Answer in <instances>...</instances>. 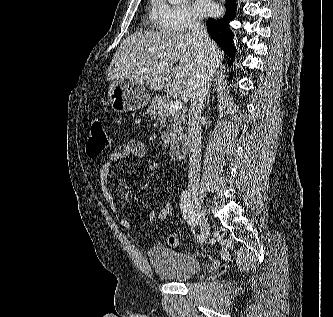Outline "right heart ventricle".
I'll return each instance as SVG.
<instances>
[{
	"label": "right heart ventricle",
	"instance_id": "e07e8e85",
	"mask_svg": "<svg viewBox=\"0 0 333 317\" xmlns=\"http://www.w3.org/2000/svg\"><path fill=\"white\" fill-rule=\"evenodd\" d=\"M155 15H156V0H152L149 10V17L151 19H155Z\"/></svg>",
	"mask_w": 333,
	"mask_h": 317
}]
</instances>
